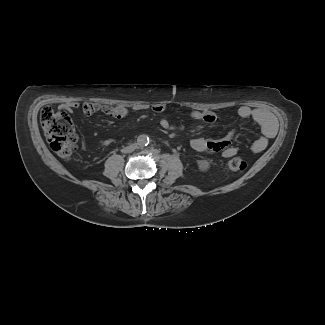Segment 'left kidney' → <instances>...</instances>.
<instances>
[{
	"mask_svg": "<svg viewBox=\"0 0 325 325\" xmlns=\"http://www.w3.org/2000/svg\"><path fill=\"white\" fill-rule=\"evenodd\" d=\"M198 167L201 171H207L210 167V164L206 160H198L197 161Z\"/></svg>",
	"mask_w": 325,
	"mask_h": 325,
	"instance_id": "5707ae66",
	"label": "left kidney"
}]
</instances>
